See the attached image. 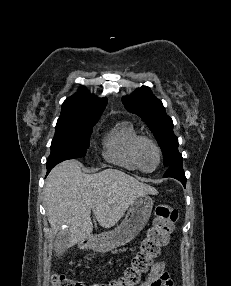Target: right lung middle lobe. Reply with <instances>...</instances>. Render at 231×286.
<instances>
[{
	"instance_id": "1",
	"label": "right lung middle lobe",
	"mask_w": 231,
	"mask_h": 286,
	"mask_svg": "<svg viewBox=\"0 0 231 286\" xmlns=\"http://www.w3.org/2000/svg\"><path fill=\"white\" fill-rule=\"evenodd\" d=\"M100 114H61L55 127L51 143V154L47 164L84 157L89 147V137Z\"/></svg>"
}]
</instances>
